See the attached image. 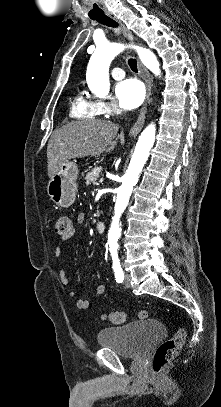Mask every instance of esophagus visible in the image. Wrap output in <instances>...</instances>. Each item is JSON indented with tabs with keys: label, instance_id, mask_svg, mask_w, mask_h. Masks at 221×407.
Instances as JSON below:
<instances>
[{
	"label": "esophagus",
	"instance_id": "34e87169",
	"mask_svg": "<svg viewBox=\"0 0 221 407\" xmlns=\"http://www.w3.org/2000/svg\"><path fill=\"white\" fill-rule=\"evenodd\" d=\"M107 16H109L110 18H112L113 20H115L118 25L120 26V29L122 31V33L130 40H133V35L132 33L127 29V27L124 25V23L117 19L116 16L110 12V11H106L105 12ZM138 66H139V70L141 72V74L143 75L145 82H146V86H147V90H146V99L145 102L140 110V114L139 117L137 119V121L133 124V126L131 127L130 131H129V135L130 136H135L137 135L145 122V116H146V112H147V105L149 103V98L151 95V87H152V81H151V77L149 72L143 67V65L141 64V62L138 60Z\"/></svg>",
	"mask_w": 221,
	"mask_h": 407
}]
</instances>
